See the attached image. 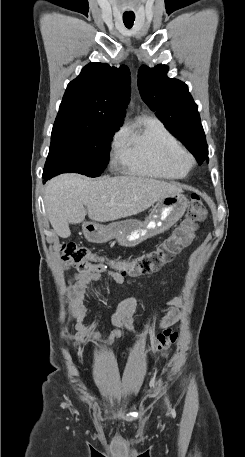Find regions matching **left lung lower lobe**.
I'll use <instances>...</instances> for the list:
<instances>
[{
	"mask_svg": "<svg viewBox=\"0 0 245 457\" xmlns=\"http://www.w3.org/2000/svg\"><path fill=\"white\" fill-rule=\"evenodd\" d=\"M207 156H208V151L205 152V155L198 161V163H199V164H202V162H203L205 159L208 160Z\"/></svg>",
	"mask_w": 245,
	"mask_h": 457,
	"instance_id": "obj_1",
	"label": "left lung lower lobe"
}]
</instances>
